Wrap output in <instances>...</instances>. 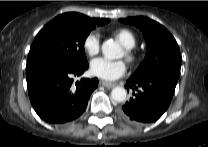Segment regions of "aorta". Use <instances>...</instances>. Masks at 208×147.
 <instances>
[{
  "instance_id": "762f6f07",
  "label": "aorta",
  "mask_w": 208,
  "mask_h": 147,
  "mask_svg": "<svg viewBox=\"0 0 208 147\" xmlns=\"http://www.w3.org/2000/svg\"><path fill=\"white\" fill-rule=\"evenodd\" d=\"M102 53L107 59H118L123 51L119 43L113 40H107L102 44ZM127 91L123 87H115L111 91V98L116 102H123L126 99Z\"/></svg>"
}]
</instances>
